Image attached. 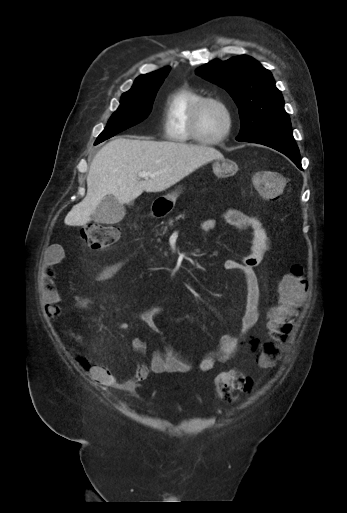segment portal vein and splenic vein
<instances>
[{
	"mask_svg": "<svg viewBox=\"0 0 347 513\" xmlns=\"http://www.w3.org/2000/svg\"><path fill=\"white\" fill-rule=\"evenodd\" d=\"M154 175H155V174H153V173H149V172H140V173L138 174V176H139V177H141V178H145V179H148L149 177H152V176H154Z\"/></svg>",
	"mask_w": 347,
	"mask_h": 513,
	"instance_id": "1",
	"label": "portal vein and splenic vein"
}]
</instances>
